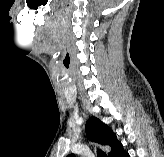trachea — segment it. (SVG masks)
<instances>
[{"mask_svg":"<svg viewBox=\"0 0 164 157\" xmlns=\"http://www.w3.org/2000/svg\"><path fill=\"white\" fill-rule=\"evenodd\" d=\"M97 157H107L106 153L102 152L101 150H97Z\"/></svg>","mask_w":164,"mask_h":157,"instance_id":"3493384b","label":"trachea"}]
</instances>
